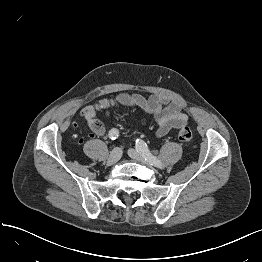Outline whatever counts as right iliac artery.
Wrapping results in <instances>:
<instances>
[{
	"mask_svg": "<svg viewBox=\"0 0 262 262\" xmlns=\"http://www.w3.org/2000/svg\"><path fill=\"white\" fill-rule=\"evenodd\" d=\"M119 136V131L116 128H113L109 131V138L115 140Z\"/></svg>",
	"mask_w": 262,
	"mask_h": 262,
	"instance_id": "1",
	"label": "right iliac artery"
}]
</instances>
